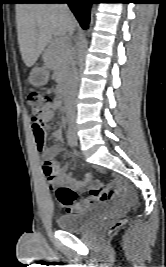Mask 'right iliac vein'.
I'll use <instances>...</instances> for the list:
<instances>
[{"mask_svg":"<svg viewBox=\"0 0 166 267\" xmlns=\"http://www.w3.org/2000/svg\"><path fill=\"white\" fill-rule=\"evenodd\" d=\"M70 131L73 134V136L75 135V127L74 126H70Z\"/></svg>","mask_w":166,"mask_h":267,"instance_id":"63e3f726","label":"right iliac vein"}]
</instances>
